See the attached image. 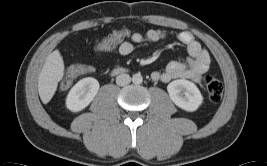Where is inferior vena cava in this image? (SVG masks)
Segmentation results:
<instances>
[{
    "label": "inferior vena cava",
    "instance_id": "602c4592",
    "mask_svg": "<svg viewBox=\"0 0 267 166\" xmlns=\"http://www.w3.org/2000/svg\"><path fill=\"white\" fill-rule=\"evenodd\" d=\"M131 82V77L128 74H120L116 77V84L125 86Z\"/></svg>",
    "mask_w": 267,
    "mask_h": 166
}]
</instances>
